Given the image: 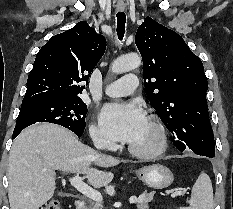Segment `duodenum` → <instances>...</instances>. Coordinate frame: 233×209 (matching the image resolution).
<instances>
[{"label":"duodenum","instance_id":"duodenum-1","mask_svg":"<svg viewBox=\"0 0 233 209\" xmlns=\"http://www.w3.org/2000/svg\"><path fill=\"white\" fill-rule=\"evenodd\" d=\"M75 208L76 209H86V203L83 200H76L75 201Z\"/></svg>","mask_w":233,"mask_h":209}]
</instances>
